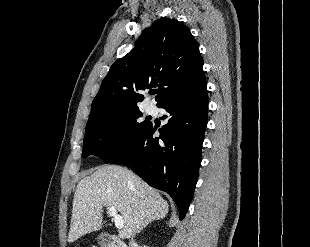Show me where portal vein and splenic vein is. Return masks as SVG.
Segmentation results:
<instances>
[{
	"mask_svg": "<svg viewBox=\"0 0 310 247\" xmlns=\"http://www.w3.org/2000/svg\"><path fill=\"white\" fill-rule=\"evenodd\" d=\"M109 215L113 218L116 228L122 229L124 227V221L122 216L117 213V209L114 206L108 208Z\"/></svg>",
	"mask_w": 310,
	"mask_h": 247,
	"instance_id": "obj_1",
	"label": "portal vein and splenic vein"
}]
</instances>
